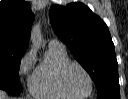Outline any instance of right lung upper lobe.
<instances>
[{
  "label": "right lung upper lobe",
  "mask_w": 128,
  "mask_h": 99,
  "mask_svg": "<svg viewBox=\"0 0 128 99\" xmlns=\"http://www.w3.org/2000/svg\"><path fill=\"white\" fill-rule=\"evenodd\" d=\"M34 15L24 0L0 2V50L25 52Z\"/></svg>",
  "instance_id": "cb5924a9"
}]
</instances>
